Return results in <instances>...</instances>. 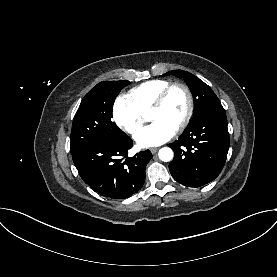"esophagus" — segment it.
<instances>
[{
  "instance_id": "obj_1",
  "label": "esophagus",
  "mask_w": 277,
  "mask_h": 277,
  "mask_svg": "<svg viewBox=\"0 0 277 277\" xmlns=\"http://www.w3.org/2000/svg\"><path fill=\"white\" fill-rule=\"evenodd\" d=\"M152 154H155L158 151V148H150Z\"/></svg>"
}]
</instances>
